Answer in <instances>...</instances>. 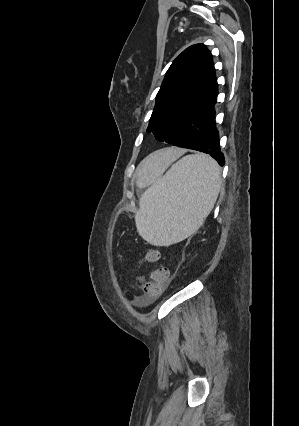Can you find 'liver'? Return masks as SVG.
<instances>
[{
    "label": "liver",
    "mask_w": 299,
    "mask_h": 426,
    "mask_svg": "<svg viewBox=\"0 0 299 426\" xmlns=\"http://www.w3.org/2000/svg\"><path fill=\"white\" fill-rule=\"evenodd\" d=\"M173 149L158 150L147 156L138 167V174H143L151 169L155 164L164 161L170 157Z\"/></svg>",
    "instance_id": "1"
}]
</instances>
